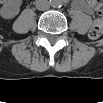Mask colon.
Returning <instances> with one entry per match:
<instances>
[{
    "instance_id": "colon-1",
    "label": "colon",
    "mask_w": 103,
    "mask_h": 103,
    "mask_svg": "<svg viewBox=\"0 0 103 103\" xmlns=\"http://www.w3.org/2000/svg\"><path fill=\"white\" fill-rule=\"evenodd\" d=\"M92 6L97 11L99 17L94 20L89 31V37L91 39H97L103 33V20L101 18L103 12V3L99 1H92Z\"/></svg>"
}]
</instances>
